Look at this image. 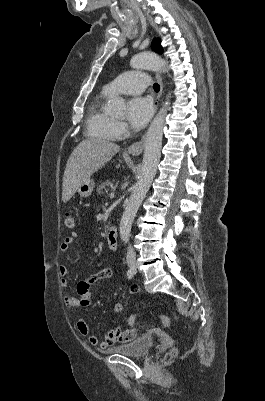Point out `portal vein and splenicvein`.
<instances>
[{
	"label": "portal vein and splenic vein",
	"instance_id": "1",
	"mask_svg": "<svg viewBox=\"0 0 265 401\" xmlns=\"http://www.w3.org/2000/svg\"><path fill=\"white\" fill-rule=\"evenodd\" d=\"M115 196V193L114 192H111L110 194H109V197L110 198H113Z\"/></svg>",
	"mask_w": 265,
	"mask_h": 401
}]
</instances>
